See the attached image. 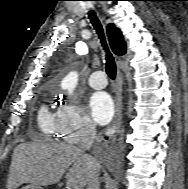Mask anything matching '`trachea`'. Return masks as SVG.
Segmentation results:
<instances>
[{"instance_id":"1","label":"trachea","mask_w":188,"mask_h":189,"mask_svg":"<svg viewBox=\"0 0 188 189\" xmlns=\"http://www.w3.org/2000/svg\"><path fill=\"white\" fill-rule=\"evenodd\" d=\"M89 18H90L91 23L94 26L95 30L97 31V34L99 35V38L101 39V44H102V46H103V48L106 52V57H105V59H106V64H105L106 65V73L108 74V76L111 79L114 80L115 76H116V64H115L114 57L110 53L108 46L106 44L102 25L100 24V21L96 17V14H95L94 11L89 12Z\"/></svg>"}]
</instances>
